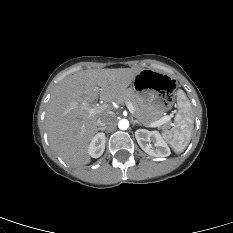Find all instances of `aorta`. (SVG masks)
Instances as JSON below:
<instances>
[{"mask_svg": "<svg viewBox=\"0 0 233 233\" xmlns=\"http://www.w3.org/2000/svg\"><path fill=\"white\" fill-rule=\"evenodd\" d=\"M118 127L121 130H126L129 127V121L127 119H121L118 122Z\"/></svg>", "mask_w": 233, "mask_h": 233, "instance_id": "1", "label": "aorta"}]
</instances>
